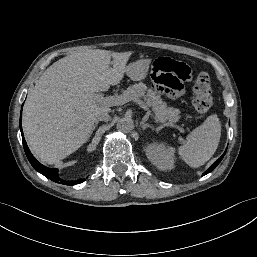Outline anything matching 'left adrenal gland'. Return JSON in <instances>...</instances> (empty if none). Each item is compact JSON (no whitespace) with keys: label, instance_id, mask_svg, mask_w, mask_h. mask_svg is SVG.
I'll list each match as a JSON object with an SVG mask.
<instances>
[{"label":"left adrenal gland","instance_id":"1","mask_svg":"<svg viewBox=\"0 0 257 257\" xmlns=\"http://www.w3.org/2000/svg\"><path fill=\"white\" fill-rule=\"evenodd\" d=\"M140 126H141V128H142L143 130H145L146 128H151L152 130H154V127H153L152 125L146 123L144 120H142V121L140 122ZM156 130H158V129H156Z\"/></svg>","mask_w":257,"mask_h":257}]
</instances>
